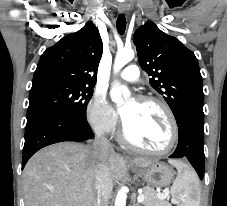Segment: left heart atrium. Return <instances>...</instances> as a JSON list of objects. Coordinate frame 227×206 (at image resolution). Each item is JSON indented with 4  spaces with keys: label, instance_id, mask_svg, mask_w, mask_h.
I'll list each match as a JSON object with an SVG mask.
<instances>
[{
    "label": "left heart atrium",
    "instance_id": "1",
    "mask_svg": "<svg viewBox=\"0 0 227 206\" xmlns=\"http://www.w3.org/2000/svg\"><path fill=\"white\" fill-rule=\"evenodd\" d=\"M123 122H124V124H125V118L123 117Z\"/></svg>",
    "mask_w": 227,
    "mask_h": 206
}]
</instances>
